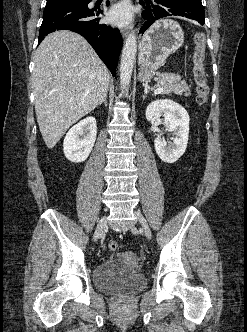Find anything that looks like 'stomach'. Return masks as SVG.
Segmentation results:
<instances>
[{
  "mask_svg": "<svg viewBox=\"0 0 247 332\" xmlns=\"http://www.w3.org/2000/svg\"><path fill=\"white\" fill-rule=\"evenodd\" d=\"M183 41L184 33L177 22L170 19L156 21L140 43V80H148L155 75V70L182 46Z\"/></svg>",
  "mask_w": 247,
  "mask_h": 332,
  "instance_id": "1",
  "label": "stomach"
}]
</instances>
